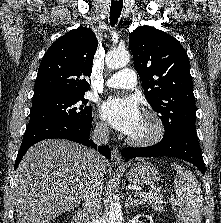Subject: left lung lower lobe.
Wrapping results in <instances>:
<instances>
[{"label":"left lung lower lobe","instance_id":"0a47b994","mask_svg":"<svg viewBox=\"0 0 221 223\" xmlns=\"http://www.w3.org/2000/svg\"><path fill=\"white\" fill-rule=\"evenodd\" d=\"M121 155L126 159L156 156L176 157L194 164L203 174L205 173V164L196 129H181L149 147L124 148L121 150Z\"/></svg>","mask_w":221,"mask_h":223}]
</instances>
